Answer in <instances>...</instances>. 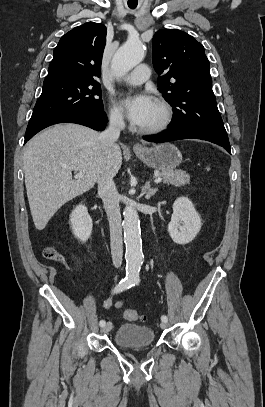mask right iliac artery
<instances>
[{
	"mask_svg": "<svg viewBox=\"0 0 265 407\" xmlns=\"http://www.w3.org/2000/svg\"><path fill=\"white\" fill-rule=\"evenodd\" d=\"M132 286H134L133 280L128 279V278L126 277V278L122 279V280L120 281V283L117 285V287H116V289H115V293H120V292H122V291H124V290H126V289L131 288ZM99 325H100L101 327H103V326L105 325V321H104V320H101V321L99 322Z\"/></svg>",
	"mask_w": 265,
	"mask_h": 407,
	"instance_id": "1",
	"label": "right iliac artery"
}]
</instances>
